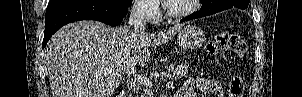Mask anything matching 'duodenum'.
I'll use <instances>...</instances> for the list:
<instances>
[{
  "instance_id": "1",
  "label": "duodenum",
  "mask_w": 302,
  "mask_h": 97,
  "mask_svg": "<svg viewBox=\"0 0 302 97\" xmlns=\"http://www.w3.org/2000/svg\"><path fill=\"white\" fill-rule=\"evenodd\" d=\"M119 97H126V93H124V92L121 93V94L119 95ZM175 97H178V94H176Z\"/></svg>"
}]
</instances>
